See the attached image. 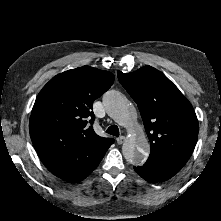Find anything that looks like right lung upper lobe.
Instances as JSON below:
<instances>
[{
	"label": "right lung upper lobe",
	"instance_id": "right-lung-upper-lobe-1",
	"mask_svg": "<svg viewBox=\"0 0 221 221\" xmlns=\"http://www.w3.org/2000/svg\"><path fill=\"white\" fill-rule=\"evenodd\" d=\"M114 82L109 71L83 66L53 77L40 91L29 122L32 143L42 161L78 146L103 140L92 127L94 100Z\"/></svg>",
	"mask_w": 221,
	"mask_h": 221
}]
</instances>
